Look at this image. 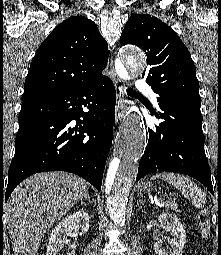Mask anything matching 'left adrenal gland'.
<instances>
[{"label":"left adrenal gland","instance_id":"left-adrenal-gland-1","mask_svg":"<svg viewBox=\"0 0 221 255\" xmlns=\"http://www.w3.org/2000/svg\"><path fill=\"white\" fill-rule=\"evenodd\" d=\"M145 202V200L143 201L142 199H141V196H139V199H138V201H137V206H140V204H142V203H144Z\"/></svg>","mask_w":221,"mask_h":255}]
</instances>
